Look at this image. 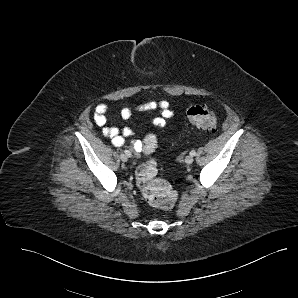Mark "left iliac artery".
<instances>
[{
	"label": "left iliac artery",
	"mask_w": 298,
	"mask_h": 298,
	"mask_svg": "<svg viewBox=\"0 0 298 298\" xmlns=\"http://www.w3.org/2000/svg\"><path fill=\"white\" fill-rule=\"evenodd\" d=\"M195 154H196L195 150H192V151L190 152V155H191V156H195Z\"/></svg>",
	"instance_id": "left-iliac-artery-1"
}]
</instances>
